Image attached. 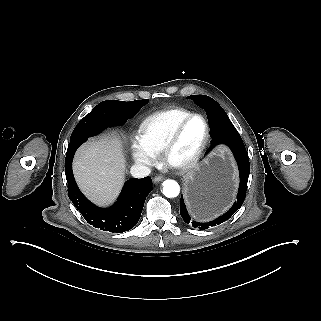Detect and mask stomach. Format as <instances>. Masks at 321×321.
<instances>
[{"mask_svg":"<svg viewBox=\"0 0 321 321\" xmlns=\"http://www.w3.org/2000/svg\"><path fill=\"white\" fill-rule=\"evenodd\" d=\"M237 174L230 154L217 150L187 176L185 196L196 218L227 206L234 194Z\"/></svg>","mask_w":321,"mask_h":321,"instance_id":"0dacf381","label":"stomach"}]
</instances>
